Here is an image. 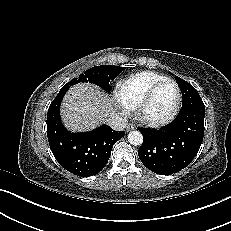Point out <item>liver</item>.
I'll use <instances>...</instances> for the list:
<instances>
[{
  "label": "liver",
  "instance_id": "1",
  "mask_svg": "<svg viewBox=\"0 0 231 231\" xmlns=\"http://www.w3.org/2000/svg\"><path fill=\"white\" fill-rule=\"evenodd\" d=\"M113 103V99L98 87L88 83L76 84L64 96L62 121L73 132L92 130L114 113Z\"/></svg>",
  "mask_w": 231,
  "mask_h": 231
}]
</instances>
